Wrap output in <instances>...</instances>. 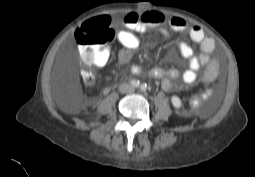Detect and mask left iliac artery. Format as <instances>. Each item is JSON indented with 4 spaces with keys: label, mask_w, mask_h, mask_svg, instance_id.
<instances>
[{
    "label": "left iliac artery",
    "mask_w": 255,
    "mask_h": 177,
    "mask_svg": "<svg viewBox=\"0 0 255 177\" xmlns=\"http://www.w3.org/2000/svg\"><path fill=\"white\" fill-rule=\"evenodd\" d=\"M146 88H147L146 84H142V85H141V90H142V91H145Z\"/></svg>",
    "instance_id": "44dca946"
}]
</instances>
